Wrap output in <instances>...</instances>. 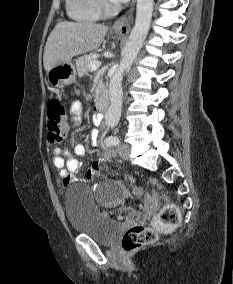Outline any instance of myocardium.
<instances>
[{
    "label": "myocardium",
    "mask_w": 233,
    "mask_h": 284,
    "mask_svg": "<svg viewBox=\"0 0 233 284\" xmlns=\"http://www.w3.org/2000/svg\"><path fill=\"white\" fill-rule=\"evenodd\" d=\"M98 5L102 13L108 15L116 11L115 6L110 0H98Z\"/></svg>",
    "instance_id": "f54148a6"
}]
</instances>
